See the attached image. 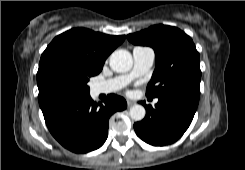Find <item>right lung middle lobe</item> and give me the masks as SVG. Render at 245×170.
Instances as JSON below:
<instances>
[{
    "mask_svg": "<svg viewBox=\"0 0 245 170\" xmlns=\"http://www.w3.org/2000/svg\"><path fill=\"white\" fill-rule=\"evenodd\" d=\"M94 75L63 65L47 67L37 78L41 108L52 109L62 103L89 95L87 82Z\"/></svg>",
    "mask_w": 245,
    "mask_h": 170,
    "instance_id": "dd1d6c3e",
    "label": "right lung middle lobe"
}]
</instances>
